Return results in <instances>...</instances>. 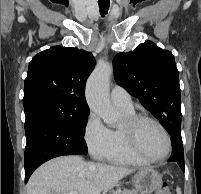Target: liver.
<instances>
[{
    "label": "liver",
    "mask_w": 201,
    "mask_h": 194,
    "mask_svg": "<svg viewBox=\"0 0 201 194\" xmlns=\"http://www.w3.org/2000/svg\"><path fill=\"white\" fill-rule=\"evenodd\" d=\"M135 169L85 162L80 156H64L39 167L27 183V194H104Z\"/></svg>",
    "instance_id": "obj_1"
}]
</instances>
